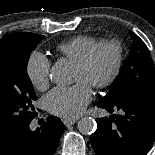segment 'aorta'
Wrapping results in <instances>:
<instances>
[{
    "mask_svg": "<svg viewBox=\"0 0 155 155\" xmlns=\"http://www.w3.org/2000/svg\"><path fill=\"white\" fill-rule=\"evenodd\" d=\"M51 80L57 85H66L72 81V69L65 61L56 62L50 74ZM96 121L91 117H83L78 121V130L84 135H90L96 130Z\"/></svg>",
    "mask_w": 155,
    "mask_h": 155,
    "instance_id": "762f6f07",
    "label": "aorta"
}]
</instances>
